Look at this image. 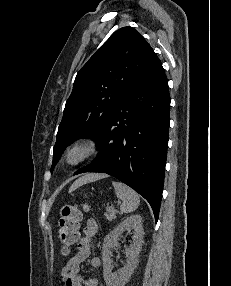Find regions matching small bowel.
<instances>
[{"mask_svg":"<svg viewBox=\"0 0 231 286\" xmlns=\"http://www.w3.org/2000/svg\"><path fill=\"white\" fill-rule=\"evenodd\" d=\"M98 231V223L95 219L86 220L83 229V236L78 242L77 252L72 255L60 273V279L63 286H102L96 278H86L80 273V266L85 262L91 253V241ZM101 260L98 257L90 259V266L98 269Z\"/></svg>","mask_w":231,"mask_h":286,"instance_id":"1","label":"small bowel"}]
</instances>
